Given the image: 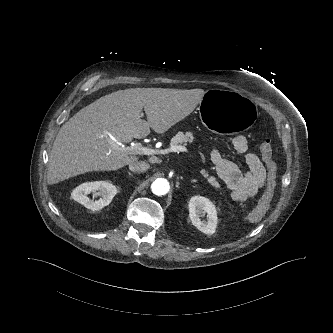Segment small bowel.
Listing matches in <instances>:
<instances>
[{"label":"small bowel","instance_id":"1","mask_svg":"<svg viewBox=\"0 0 333 333\" xmlns=\"http://www.w3.org/2000/svg\"><path fill=\"white\" fill-rule=\"evenodd\" d=\"M232 146L245 160V173L241 172L234 162L226 159L219 147L212 148L210 159L218 175L230 188L232 197L237 201H246L255 197L265 186V166L268 162L262 161L257 154L249 150L247 140L243 136H235Z\"/></svg>","mask_w":333,"mask_h":333}]
</instances>
